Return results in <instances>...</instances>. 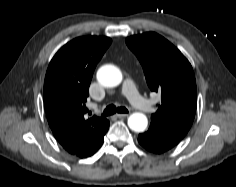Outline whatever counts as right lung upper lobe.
<instances>
[{
    "label": "right lung upper lobe",
    "instance_id": "1",
    "mask_svg": "<svg viewBox=\"0 0 236 187\" xmlns=\"http://www.w3.org/2000/svg\"><path fill=\"white\" fill-rule=\"evenodd\" d=\"M112 40L78 37L52 58L44 81V106L49 126L70 154L85 158L103 143L109 121L85 117V102L94 69Z\"/></svg>",
    "mask_w": 236,
    "mask_h": 187
}]
</instances>
